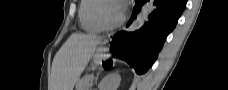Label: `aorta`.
<instances>
[{
	"instance_id": "762f6f07",
	"label": "aorta",
	"mask_w": 228,
	"mask_h": 90,
	"mask_svg": "<svg viewBox=\"0 0 228 90\" xmlns=\"http://www.w3.org/2000/svg\"><path fill=\"white\" fill-rule=\"evenodd\" d=\"M153 8H154L153 7V0L146 2L142 6L141 11L137 15V18L134 20V22L129 27L128 31L129 32L135 31L137 29L138 22L146 20L148 15L152 12Z\"/></svg>"
}]
</instances>
